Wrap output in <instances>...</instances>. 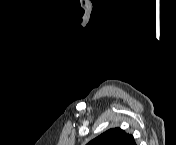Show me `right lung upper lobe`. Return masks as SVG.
Wrapping results in <instances>:
<instances>
[{"instance_id": "cb5924a9", "label": "right lung upper lobe", "mask_w": 176, "mask_h": 145, "mask_svg": "<svg viewBox=\"0 0 176 145\" xmlns=\"http://www.w3.org/2000/svg\"><path fill=\"white\" fill-rule=\"evenodd\" d=\"M88 145H136L133 136L120 128L110 129L88 143Z\"/></svg>"}]
</instances>
